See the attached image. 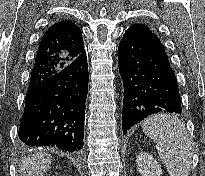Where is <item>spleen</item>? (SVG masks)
<instances>
[{
	"label": "spleen",
	"mask_w": 205,
	"mask_h": 176,
	"mask_svg": "<svg viewBox=\"0 0 205 176\" xmlns=\"http://www.w3.org/2000/svg\"><path fill=\"white\" fill-rule=\"evenodd\" d=\"M143 132L156 142V149L170 176H188L192 160V145L185 124L169 114L147 118Z\"/></svg>",
	"instance_id": "3e777b00"
}]
</instances>
